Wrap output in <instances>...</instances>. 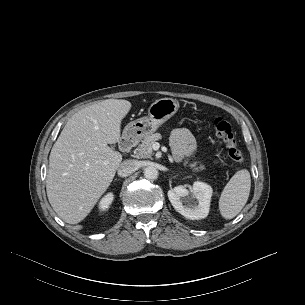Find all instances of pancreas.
<instances>
[{
  "label": "pancreas",
  "mask_w": 305,
  "mask_h": 305,
  "mask_svg": "<svg viewBox=\"0 0 305 305\" xmlns=\"http://www.w3.org/2000/svg\"><path fill=\"white\" fill-rule=\"evenodd\" d=\"M162 138L160 133H154L149 136H146L142 143L135 149V157L137 158H150L153 152L152 145ZM188 161L184 162V166H187ZM189 167L193 168L194 172H199L205 169L203 164H200L199 167L197 166V162H193L188 165Z\"/></svg>",
  "instance_id": "1"
}]
</instances>
